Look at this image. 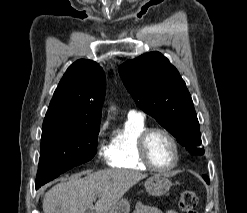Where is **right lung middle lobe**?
<instances>
[{
	"label": "right lung middle lobe",
	"mask_w": 247,
	"mask_h": 213,
	"mask_svg": "<svg viewBox=\"0 0 247 213\" xmlns=\"http://www.w3.org/2000/svg\"><path fill=\"white\" fill-rule=\"evenodd\" d=\"M99 126L43 125L36 188L91 160L97 151Z\"/></svg>",
	"instance_id": "obj_1"
}]
</instances>
